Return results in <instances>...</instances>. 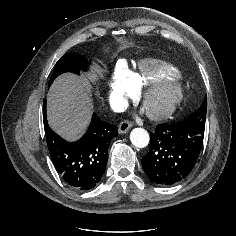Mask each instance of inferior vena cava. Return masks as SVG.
I'll use <instances>...</instances> for the list:
<instances>
[{
	"label": "inferior vena cava",
	"instance_id": "inferior-vena-cava-1",
	"mask_svg": "<svg viewBox=\"0 0 236 236\" xmlns=\"http://www.w3.org/2000/svg\"><path fill=\"white\" fill-rule=\"evenodd\" d=\"M112 107H113L114 111H116V112H123L124 110H126L127 104H125L123 102V100H121V99H116L113 101Z\"/></svg>",
	"mask_w": 236,
	"mask_h": 236
}]
</instances>
